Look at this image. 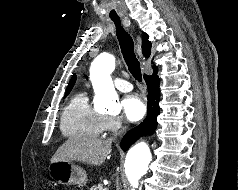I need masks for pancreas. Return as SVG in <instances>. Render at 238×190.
Segmentation results:
<instances>
[{
  "label": "pancreas",
  "instance_id": "cf45deb5",
  "mask_svg": "<svg viewBox=\"0 0 238 190\" xmlns=\"http://www.w3.org/2000/svg\"><path fill=\"white\" fill-rule=\"evenodd\" d=\"M103 189L104 188H103L102 184L100 183L98 185L92 186L89 190H103Z\"/></svg>",
  "mask_w": 238,
  "mask_h": 190
}]
</instances>
